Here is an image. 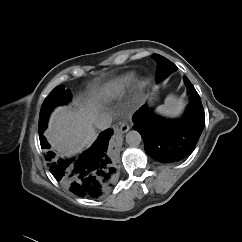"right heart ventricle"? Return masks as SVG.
I'll return each instance as SVG.
<instances>
[{
    "mask_svg": "<svg viewBox=\"0 0 242 242\" xmlns=\"http://www.w3.org/2000/svg\"><path fill=\"white\" fill-rule=\"evenodd\" d=\"M135 74L130 72L126 73L110 83L104 89V95L108 99H115L121 96L125 90L133 83Z\"/></svg>",
    "mask_w": 242,
    "mask_h": 242,
    "instance_id": "right-heart-ventricle-1",
    "label": "right heart ventricle"
}]
</instances>
